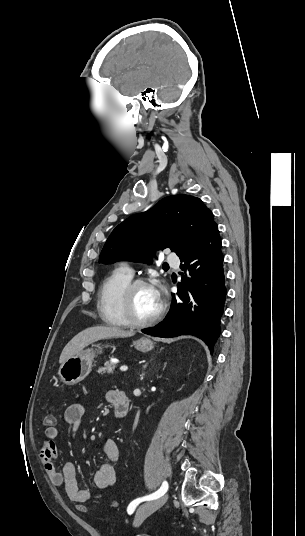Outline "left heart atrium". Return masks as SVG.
<instances>
[{
	"mask_svg": "<svg viewBox=\"0 0 305 536\" xmlns=\"http://www.w3.org/2000/svg\"><path fill=\"white\" fill-rule=\"evenodd\" d=\"M155 295L158 300H160V292L158 289L155 288Z\"/></svg>",
	"mask_w": 305,
	"mask_h": 536,
	"instance_id": "obj_1",
	"label": "left heart atrium"
}]
</instances>
